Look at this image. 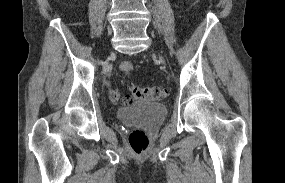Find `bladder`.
<instances>
[{
    "label": "bladder",
    "instance_id": "1",
    "mask_svg": "<svg viewBox=\"0 0 285 183\" xmlns=\"http://www.w3.org/2000/svg\"><path fill=\"white\" fill-rule=\"evenodd\" d=\"M166 108L155 102H139L120 107L117 118L121 121H135L145 129L158 128L166 117Z\"/></svg>",
    "mask_w": 285,
    "mask_h": 183
}]
</instances>
